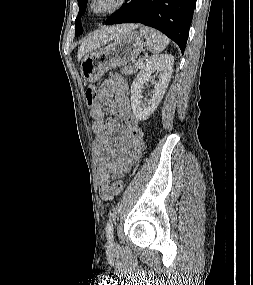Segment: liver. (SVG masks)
<instances>
[{
	"instance_id": "6515ba94",
	"label": "liver",
	"mask_w": 253,
	"mask_h": 285,
	"mask_svg": "<svg viewBox=\"0 0 253 285\" xmlns=\"http://www.w3.org/2000/svg\"><path fill=\"white\" fill-rule=\"evenodd\" d=\"M136 28V25L133 24H123L113 27L103 28L99 31L94 32L84 39L80 48L78 49L77 58L78 61L89 52L96 50L102 45L108 43L111 40H114L116 37L123 35L125 33L131 32Z\"/></svg>"
}]
</instances>
